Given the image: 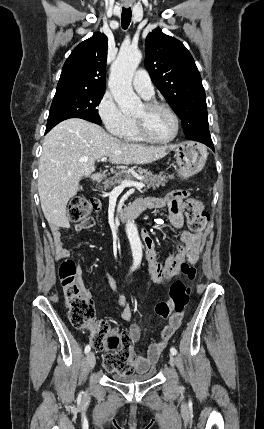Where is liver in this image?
I'll use <instances>...</instances> for the list:
<instances>
[{
  "mask_svg": "<svg viewBox=\"0 0 264 429\" xmlns=\"http://www.w3.org/2000/svg\"><path fill=\"white\" fill-rule=\"evenodd\" d=\"M175 147L121 141L83 119L59 123L45 136L39 163L38 192L49 225L70 227L67 203L77 194L82 177L95 170L96 160L109 157L112 164H148Z\"/></svg>",
  "mask_w": 264,
  "mask_h": 429,
  "instance_id": "liver-1",
  "label": "liver"
}]
</instances>
